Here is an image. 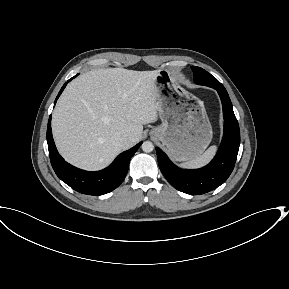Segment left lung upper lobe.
I'll list each match as a JSON object with an SVG mask.
<instances>
[{
	"mask_svg": "<svg viewBox=\"0 0 289 289\" xmlns=\"http://www.w3.org/2000/svg\"><path fill=\"white\" fill-rule=\"evenodd\" d=\"M192 71L194 72V82L196 84L205 85L216 88H224V86L210 73L204 69L196 66H192Z\"/></svg>",
	"mask_w": 289,
	"mask_h": 289,
	"instance_id": "5c2ea615",
	"label": "left lung upper lobe"
}]
</instances>
